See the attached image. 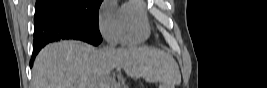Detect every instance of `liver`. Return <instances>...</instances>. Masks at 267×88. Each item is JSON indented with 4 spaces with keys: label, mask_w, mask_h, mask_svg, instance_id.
I'll list each match as a JSON object with an SVG mask.
<instances>
[{
    "label": "liver",
    "mask_w": 267,
    "mask_h": 88,
    "mask_svg": "<svg viewBox=\"0 0 267 88\" xmlns=\"http://www.w3.org/2000/svg\"><path fill=\"white\" fill-rule=\"evenodd\" d=\"M134 79L163 82L174 88L180 72L173 57L159 49L128 46L96 50L81 41L67 40L44 47L33 66V88H105L114 69Z\"/></svg>",
    "instance_id": "1"
}]
</instances>
